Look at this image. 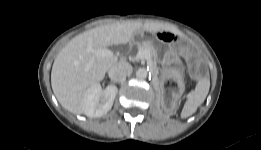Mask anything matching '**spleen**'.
Instances as JSON below:
<instances>
[{
  "label": "spleen",
  "instance_id": "obj_1",
  "mask_svg": "<svg viewBox=\"0 0 261 150\" xmlns=\"http://www.w3.org/2000/svg\"><path fill=\"white\" fill-rule=\"evenodd\" d=\"M210 80L204 77L198 81L196 87L190 92L187 101L181 112L182 118H187L197 111V108L204 102L209 92Z\"/></svg>",
  "mask_w": 261,
  "mask_h": 150
}]
</instances>
